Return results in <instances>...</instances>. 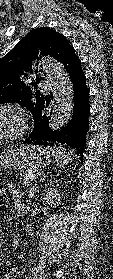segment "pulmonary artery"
I'll list each match as a JSON object with an SVG mask.
<instances>
[{"label": "pulmonary artery", "mask_w": 113, "mask_h": 279, "mask_svg": "<svg viewBox=\"0 0 113 279\" xmlns=\"http://www.w3.org/2000/svg\"><path fill=\"white\" fill-rule=\"evenodd\" d=\"M43 86H44L45 88L50 87L49 81H48V80H43Z\"/></svg>", "instance_id": "obj_1"}]
</instances>
